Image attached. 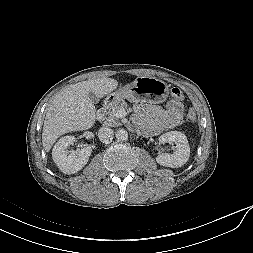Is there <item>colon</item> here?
Returning a JSON list of instances; mask_svg holds the SVG:
<instances>
[{
    "label": "colon",
    "mask_w": 253,
    "mask_h": 253,
    "mask_svg": "<svg viewBox=\"0 0 253 253\" xmlns=\"http://www.w3.org/2000/svg\"><path fill=\"white\" fill-rule=\"evenodd\" d=\"M171 94L176 100H183L184 99L183 92L178 87H173L171 89ZM187 117H188V120L191 121V122L196 121L197 115H196L195 111L192 108L189 109Z\"/></svg>",
    "instance_id": "5ec220e1"
}]
</instances>
